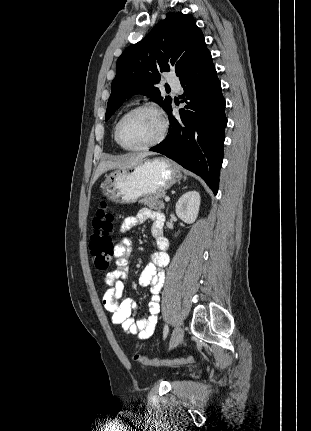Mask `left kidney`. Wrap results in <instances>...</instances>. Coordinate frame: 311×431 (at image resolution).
<instances>
[{
    "label": "left kidney",
    "instance_id": "obj_1",
    "mask_svg": "<svg viewBox=\"0 0 311 431\" xmlns=\"http://www.w3.org/2000/svg\"><path fill=\"white\" fill-rule=\"evenodd\" d=\"M200 202L199 192H195V190L193 192H186V194H183L179 198L175 206V212L185 223H194L199 214Z\"/></svg>",
    "mask_w": 311,
    "mask_h": 431
}]
</instances>
